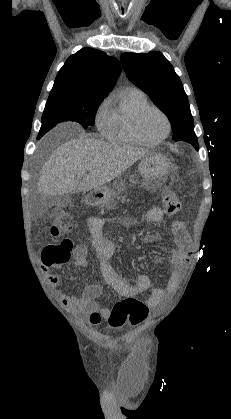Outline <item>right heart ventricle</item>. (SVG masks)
I'll return each mask as SVG.
<instances>
[{"instance_id": "e07e8e85", "label": "right heart ventricle", "mask_w": 231, "mask_h": 419, "mask_svg": "<svg viewBox=\"0 0 231 419\" xmlns=\"http://www.w3.org/2000/svg\"><path fill=\"white\" fill-rule=\"evenodd\" d=\"M146 95L138 89L123 93L120 104L112 109V125L108 139L119 144H143L135 135L133 119L138 110L148 105Z\"/></svg>"}]
</instances>
